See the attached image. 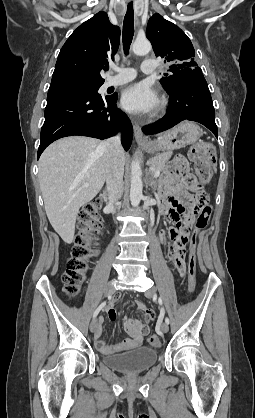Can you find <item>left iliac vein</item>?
<instances>
[{
	"label": "left iliac vein",
	"instance_id": "4c4485c4",
	"mask_svg": "<svg viewBox=\"0 0 255 418\" xmlns=\"http://www.w3.org/2000/svg\"><path fill=\"white\" fill-rule=\"evenodd\" d=\"M155 292H156L155 288L152 287V288H150L149 290H147L145 292V295H146V297L151 298V297H153L155 295ZM161 331L163 333H167L169 331V326H168V324L166 322H164V323L161 324Z\"/></svg>",
	"mask_w": 255,
	"mask_h": 418
}]
</instances>
